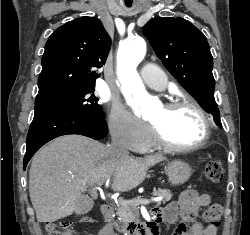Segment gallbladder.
I'll list each match as a JSON object with an SVG mask.
<instances>
[{"instance_id":"bac80fb5","label":"gallbladder","mask_w":250,"mask_h":235,"mask_svg":"<svg viewBox=\"0 0 250 235\" xmlns=\"http://www.w3.org/2000/svg\"><path fill=\"white\" fill-rule=\"evenodd\" d=\"M92 204L87 198H80L77 200L75 205V213L77 215H83L89 212L92 209Z\"/></svg>"}]
</instances>
